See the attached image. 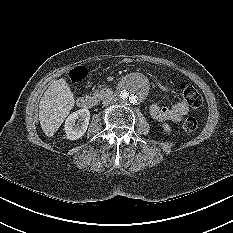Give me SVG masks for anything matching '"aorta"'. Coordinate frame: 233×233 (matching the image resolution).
Here are the masks:
<instances>
[{
	"label": "aorta",
	"mask_w": 233,
	"mask_h": 233,
	"mask_svg": "<svg viewBox=\"0 0 233 233\" xmlns=\"http://www.w3.org/2000/svg\"><path fill=\"white\" fill-rule=\"evenodd\" d=\"M147 94V85L140 76L126 78L119 87L120 100L125 104L141 102Z\"/></svg>",
	"instance_id": "762f6f07"
}]
</instances>
